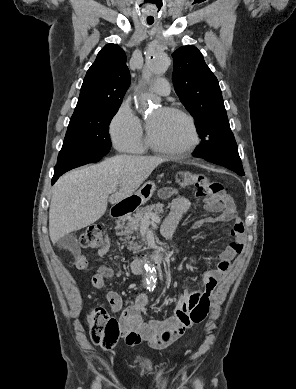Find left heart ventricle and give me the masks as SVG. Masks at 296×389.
<instances>
[{
    "label": "left heart ventricle",
    "instance_id": "1",
    "mask_svg": "<svg viewBox=\"0 0 296 389\" xmlns=\"http://www.w3.org/2000/svg\"><path fill=\"white\" fill-rule=\"evenodd\" d=\"M148 128L153 140L161 146L179 148L190 140L187 121L164 109H157L148 117Z\"/></svg>",
    "mask_w": 296,
    "mask_h": 389
}]
</instances>
